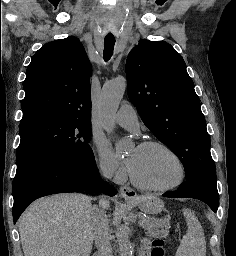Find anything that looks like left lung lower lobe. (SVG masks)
I'll list each match as a JSON object with an SVG mask.
<instances>
[{
	"label": "left lung lower lobe",
	"instance_id": "1",
	"mask_svg": "<svg viewBox=\"0 0 236 256\" xmlns=\"http://www.w3.org/2000/svg\"><path fill=\"white\" fill-rule=\"evenodd\" d=\"M164 197L181 198L190 197L199 199L216 212L219 206V194L217 191V183L214 180L206 178H192L180 185L173 192L163 194Z\"/></svg>",
	"mask_w": 236,
	"mask_h": 256
}]
</instances>
